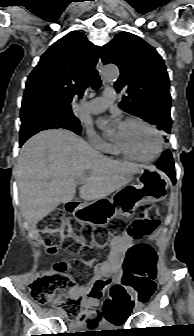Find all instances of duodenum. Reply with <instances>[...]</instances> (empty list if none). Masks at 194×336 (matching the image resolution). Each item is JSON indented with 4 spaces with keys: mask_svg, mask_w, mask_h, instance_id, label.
<instances>
[{
    "mask_svg": "<svg viewBox=\"0 0 194 336\" xmlns=\"http://www.w3.org/2000/svg\"><path fill=\"white\" fill-rule=\"evenodd\" d=\"M76 207H77V203H75V202H70V203L67 204V208H68L69 211L74 210Z\"/></svg>",
    "mask_w": 194,
    "mask_h": 336,
    "instance_id": "duodenum-1",
    "label": "duodenum"
}]
</instances>
